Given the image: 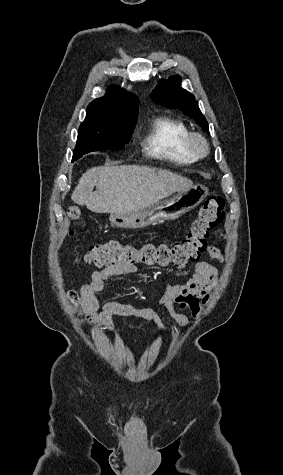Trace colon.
<instances>
[{
  "instance_id": "5ec220e1",
  "label": "colon",
  "mask_w": 283,
  "mask_h": 475,
  "mask_svg": "<svg viewBox=\"0 0 283 475\" xmlns=\"http://www.w3.org/2000/svg\"><path fill=\"white\" fill-rule=\"evenodd\" d=\"M224 215L223 197L212 195L198 210L190 231L183 240L172 244H145L139 249L131 244L108 242L91 246L83 259L98 267L118 265L132 268L138 263L160 267H183L189 262L196 261L205 251L210 229L215 228L224 219ZM68 216L71 221H78L82 215L79 209L71 208ZM68 296L74 299L77 293L71 290Z\"/></svg>"
}]
</instances>
